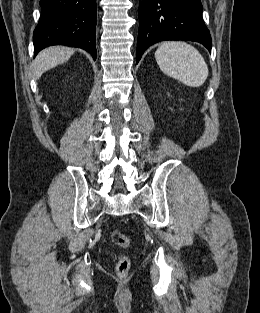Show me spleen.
<instances>
[{
    "mask_svg": "<svg viewBox=\"0 0 260 313\" xmlns=\"http://www.w3.org/2000/svg\"><path fill=\"white\" fill-rule=\"evenodd\" d=\"M155 58L163 73L189 87L201 86L209 74L199 51L183 41L162 43L155 52Z\"/></svg>",
    "mask_w": 260,
    "mask_h": 313,
    "instance_id": "spleen-1",
    "label": "spleen"
}]
</instances>
